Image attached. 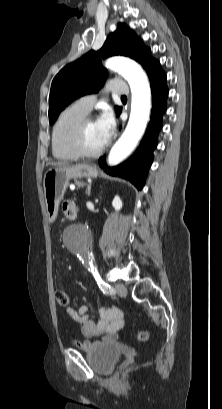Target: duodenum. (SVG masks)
Wrapping results in <instances>:
<instances>
[{
    "mask_svg": "<svg viewBox=\"0 0 222 409\" xmlns=\"http://www.w3.org/2000/svg\"><path fill=\"white\" fill-rule=\"evenodd\" d=\"M76 215H77L76 211H73L70 213L69 218L74 219Z\"/></svg>",
    "mask_w": 222,
    "mask_h": 409,
    "instance_id": "1",
    "label": "duodenum"
}]
</instances>
